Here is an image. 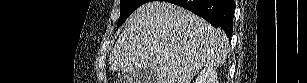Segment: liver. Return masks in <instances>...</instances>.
Listing matches in <instances>:
<instances>
[{
  "label": "liver",
  "mask_w": 307,
  "mask_h": 83,
  "mask_svg": "<svg viewBox=\"0 0 307 83\" xmlns=\"http://www.w3.org/2000/svg\"><path fill=\"white\" fill-rule=\"evenodd\" d=\"M228 38L184 8L160 1L139 7L109 55L112 71L151 68L155 83H190L203 66H222Z\"/></svg>",
  "instance_id": "1"
}]
</instances>
